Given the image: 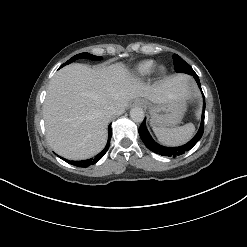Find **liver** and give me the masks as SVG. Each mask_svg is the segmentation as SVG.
Returning a JSON list of instances; mask_svg holds the SVG:
<instances>
[{
  "label": "liver",
  "instance_id": "liver-1",
  "mask_svg": "<svg viewBox=\"0 0 247 247\" xmlns=\"http://www.w3.org/2000/svg\"><path fill=\"white\" fill-rule=\"evenodd\" d=\"M186 93L182 76L145 85L121 63L95 69L68 65L53 76L47 89L43 117L48 143L67 159H88L106 144L107 108L122 113L139 97L162 103Z\"/></svg>",
  "mask_w": 247,
  "mask_h": 247
}]
</instances>
